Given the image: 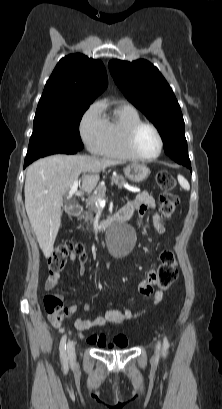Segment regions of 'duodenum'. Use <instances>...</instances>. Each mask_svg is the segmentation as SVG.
<instances>
[{
	"instance_id": "1",
	"label": "duodenum",
	"mask_w": 222,
	"mask_h": 409,
	"mask_svg": "<svg viewBox=\"0 0 222 409\" xmlns=\"http://www.w3.org/2000/svg\"><path fill=\"white\" fill-rule=\"evenodd\" d=\"M83 208L80 205H74L70 207V213L73 216H78L82 212ZM131 217V212L121 208L117 212H115L110 218L103 220L100 223V230H102L106 225L112 222H122L126 221Z\"/></svg>"
}]
</instances>
